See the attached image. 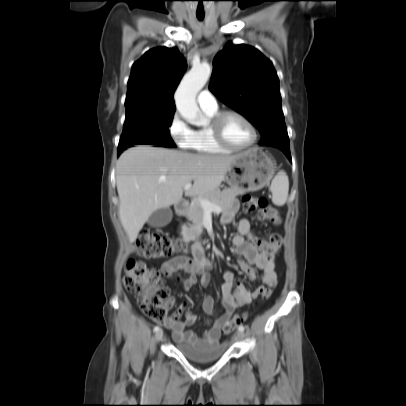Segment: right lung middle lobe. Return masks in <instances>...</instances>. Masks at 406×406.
<instances>
[{"mask_svg":"<svg viewBox=\"0 0 406 406\" xmlns=\"http://www.w3.org/2000/svg\"><path fill=\"white\" fill-rule=\"evenodd\" d=\"M174 111L150 109L126 110L123 133L118 151L122 152L133 145L148 144L174 148L168 127L171 126Z\"/></svg>","mask_w":406,"mask_h":406,"instance_id":"obj_1","label":"right lung middle lobe"}]
</instances>
